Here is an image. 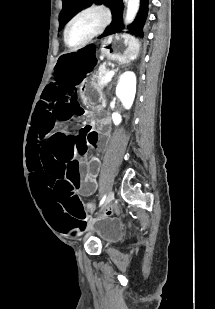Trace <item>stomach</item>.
<instances>
[{
	"label": "stomach",
	"mask_w": 215,
	"mask_h": 309,
	"mask_svg": "<svg viewBox=\"0 0 215 309\" xmlns=\"http://www.w3.org/2000/svg\"><path fill=\"white\" fill-rule=\"evenodd\" d=\"M140 43L130 34L119 33L104 38L101 42V55L107 60L127 63L138 54ZM102 88L96 76L88 78L82 85V94L93 103L103 100Z\"/></svg>",
	"instance_id": "stomach-1"
}]
</instances>
